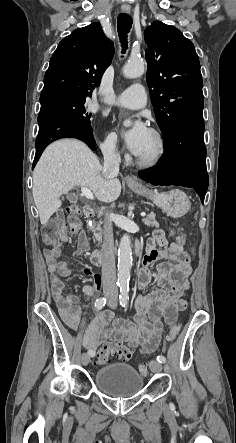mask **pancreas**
I'll return each instance as SVG.
<instances>
[{
	"label": "pancreas",
	"instance_id": "pancreas-1",
	"mask_svg": "<svg viewBox=\"0 0 236 443\" xmlns=\"http://www.w3.org/2000/svg\"><path fill=\"white\" fill-rule=\"evenodd\" d=\"M143 223L149 227H159V223L155 219V214L151 212L146 218H144ZM102 222L98 223L92 228L93 235L96 240L101 241L102 237Z\"/></svg>",
	"mask_w": 236,
	"mask_h": 443
}]
</instances>
